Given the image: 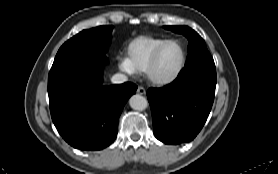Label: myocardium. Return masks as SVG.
I'll return each mask as SVG.
<instances>
[{
    "label": "myocardium",
    "mask_w": 278,
    "mask_h": 174,
    "mask_svg": "<svg viewBox=\"0 0 278 174\" xmlns=\"http://www.w3.org/2000/svg\"><path fill=\"white\" fill-rule=\"evenodd\" d=\"M171 43H176L180 46L181 53H182L181 62L179 64L178 68L175 70V72H173L171 75L160 76L156 73L157 60H158V57H159L161 51L163 50V48ZM186 59H187V54H186V49H185V46L183 45V43L177 39H167L154 50V52L149 60V63L147 65L146 71H145L146 77L151 83L158 85V86H165V85L171 84L181 75V73L184 70V67L186 65Z\"/></svg>",
    "instance_id": "obj_1"
}]
</instances>
